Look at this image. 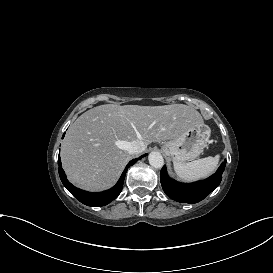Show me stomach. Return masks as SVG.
<instances>
[{
	"instance_id": "1",
	"label": "stomach",
	"mask_w": 273,
	"mask_h": 273,
	"mask_svg": "<svg viewBox=\"0 0 273 273\" xmlns=\"http://www.w3.org/2000/svg\"><path fill=\"white\" fill-rule=\"evenodd\" d=\"M211 127L204 121L193 123L177 138L164 142L163 153L175 162L196 159L208 144Z\"/></svg>"
}]
</instances>
